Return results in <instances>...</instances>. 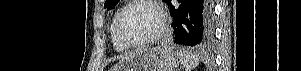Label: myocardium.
<instances>
[{
  "instance_id": "obj_1",
  "label": "myocardium",
  "mask_w": 301,
  "mask_h": 71,
  "mask_svg": "<svg viewBox=\"0 0 301 71\" xmlns=\"http://www.w3.org/2000/svg\"><path fill=\"white\" fill-rule=\"evenodd\" d=\"M138 4L148 5L151 8H153L157 12V14L160 18V25H159L156 33H154L153 35H151L143 40L137 41V42H130V41L126 40L122 34V30H121L122 18L128 8H130L131 6H134V5H138ZM167 26H168L167 15H166L165 11L163 10V8L157 2L151 1V0H133V1H129L128 3H126L121 8V10L118 12V15L116 17V22H115V32H116L117 39L126 48H137V47L147 46V45H150V44L158 41L163 36L164 32L166 31Z\"/></svg>"
}]
</instances>
